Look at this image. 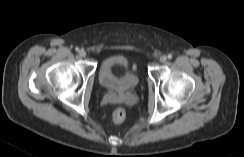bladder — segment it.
Segmentation results:
<instances>
[{"mask_svg":"<svg viewBox=\"0 0 244 157\" xmlns=\"http://www.w3.org/2000/svg\"><path fill=\"white\" fill-rule=\"evenodd\" d=\"M98 79L103 88L116 95L129 94L139 85L138 73L131 69L129 61L121 55L107 57L101 62Z\"/></svg>","mask_w":244,"mask_h":157,"instance_id":"31cf9c89","label":"bladder"}]
</instances>
